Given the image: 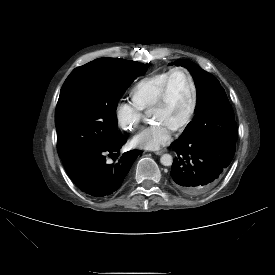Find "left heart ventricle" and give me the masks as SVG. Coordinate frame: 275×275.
I'll list each match as a JSON object with an SVG mask.
<instances>
[{"instance_id": "b2bd125f", "label": "left heart ventricle", "mask_w": 275, "mask_h": 275, "mask_svg": "<svg viewBox=\"0 0 275 275\" xmlns=\"http://www.w3.org/2000/svg\"><path fill=\"white\" fill-rule=\"evenodd\" d=\"M191 99V88L187 76L177 72L171 77L166 103L151 111V119L165 122L175 128L187 116Z\"/></svg>"}]
</instances>
